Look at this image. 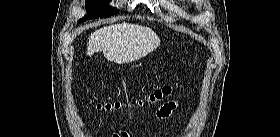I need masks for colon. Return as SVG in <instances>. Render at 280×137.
I'll list each match as a JSON object with an SVG mask.
<instances>
[{"mask_svg": "<svg viewBox=\"0 0 280 137\" xmlns=\"http://www.w3.org/2000/svg\"><path fill=\"white\" fill-rule=\"evenodd\" d=\"M172 93H173L172 86L164 85V86L156 89L149 96L137 100L135 103H136V105H138L140 107L145 106V105L159 104L163 100L170 97L172 95ZM126 105H128V104H126L125 102H122L119 100H114V101L100 102L97 104V108L99 110H103V111H115V110L124 109L126 107Z\"/></svg>", "mask_w": 280, "mask_h": 137, "instance_id": "1", "label": "colon"}]
</instances>
